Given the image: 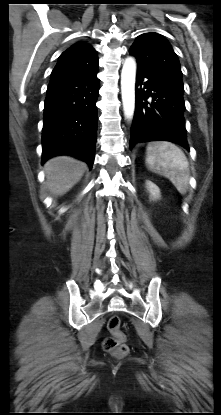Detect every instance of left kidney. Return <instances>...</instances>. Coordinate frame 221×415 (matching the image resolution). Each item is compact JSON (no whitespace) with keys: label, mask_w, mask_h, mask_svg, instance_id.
<instances>
[{"label":"left kidney","mask_w":221,"mask_h":415,"mask_svg":"<svg viewBox=\"0 0 221 415\" xmlns=\"http://www.w3.org/2000/svg\"><path fill=\"white\" fill-rule=\"evenodd\" d=\"M146 188L150 193L151 200L155 201L160 198V190L154 183L146 181Z\"/></svg>","instance_id":"1"}]
</instances>
